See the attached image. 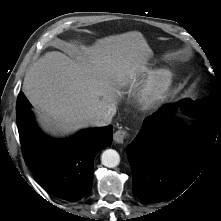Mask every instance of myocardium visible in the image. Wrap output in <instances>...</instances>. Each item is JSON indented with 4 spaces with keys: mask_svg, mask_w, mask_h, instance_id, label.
I'll list each match as a JSON object with an SVG mask.
<instances>
[{
    "mask_svg": "<svg viewBox=\"0 0 221 221\" xmlns=\"http://www.w3.org/2000/svg\"><path fill=\"white\" fill-rule=\"evenodd\" d=\"M174 83V72L170 68H160L150 77L143 93V101L147 105H157L163 102Z\"/></svg>",
    "mask_w": 221,
    "mask_h": 221,
    "instance_id": "myocardium-1",
    "label": "myocardium"
}]
</instances>
